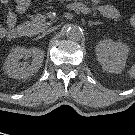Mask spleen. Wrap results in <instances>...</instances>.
I'll return each mask as SVG.
<instances>
[{"mask_svg": "<svg viewBox=\"0 0 135 135\" xmlns=\"http://www.w3.org/2000/svg\"><path fill=\"white\" fill-rule=\"evenodd\" d=\"M129 77L135 79V64L129 70Z\"/></svg>", "mask_w": 135, "mask_h": 135, "instance_id": "spleen-1", "label": "spleen"}]
</instances>
